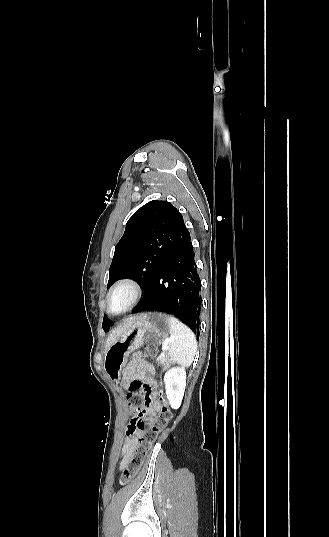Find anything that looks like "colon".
Here are the masks:
<instances>
[{"label":"colon","mask_w":329,"mask_h":537,"mask_svg":"<svg viewBox=\"0 0 329 537\" xmlns=\"http://www.w3.org/2000/svg\"><path fill=\"white\" fill-rule=\"evenodd\" d=\"M147 350L148 354L152 357L157 353V349L153 346H149ZM149 400V395L144 385L142 391L136 392L133 396L127 395L128 407L133 416L132 421L134 427L140 431V436L134 456L120 477L121 485L128 484L138 474L147 453L151 450L159 434L164 431L172 418V412L163 393H161L160 412L154 421H147L144 418V414Z\"/></svg>","instance_id":"colon-1"}]
</instances>
